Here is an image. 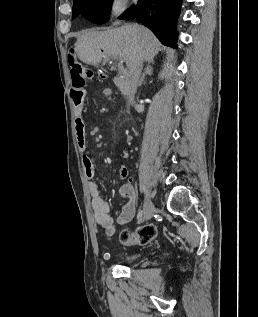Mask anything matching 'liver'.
I'll return each mask as SVG.
<instances>
[{"mask_svg": "<svg viewBox=\"0 0 258 317\" xmlns=\"http://www.w3.org/2000/svg\"><path fill=\"white\" fill-rule=\"evenodd\" d=\"M158 46L160 42L149 28L125 22L123 26L110 30H85L75 42V52L87 64H98L102 58L120 56L130 68L137 56L142 60H153Z\"/></svg>", "mask_w": 258, "mask_h": 317, "instance_id": "liver-1", "label": "liver"}]
</instances>
